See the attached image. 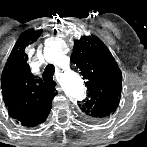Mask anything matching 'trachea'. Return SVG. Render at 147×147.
<instances>
[{"mask_svg": "<svg viewBox=\"0 0 147 147\" xmlns=\"http://www.w3.org/2000/svg\"><path fill=\"white\" fill-rule=\"evenodd\" d=\"M53 75H54L53 67L52 66L46 67L45 71L43 72L44 81L46 82L52 81Z\"/></svg>", "mask_w": 147, "mask_h": 147, "instance_id": "1", "label": "trachea"}]
</instances>
